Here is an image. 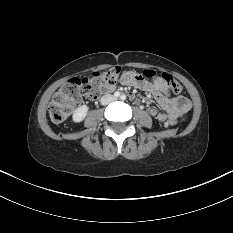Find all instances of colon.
I'll list each match as a JSON object with an SVG mask.
<instances>
[{
	"instance_id": "1",
	"label": "colon",
	"mask_w": 233,
	"mask_h": 233,
	"mask_svg": "<svg viewBox=\"0 0 233 233\" xmlns=\"http://www.w3.org/2000/svg\"><path fill=\"white\" fill-rule=\"evenodd\" d=\"M121 75L119 67H113L103 72H95L90 77H74L68 80L54 95L49 105L50 118L54 122L64 121L76 104L83 97L95 99L101 92L111 90ZM145 80L156 79L166 85L174 94L182 91L181 85L169 74L157 76L153 70L142 72ZM169 126H175L176 120H168Z\"/></svg>"
}]
</instances>
